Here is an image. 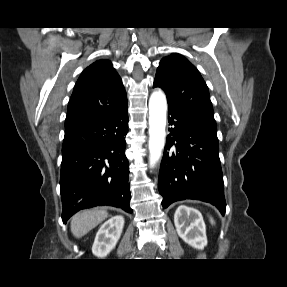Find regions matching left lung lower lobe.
I'll list each match as a JSON object with an SVG mask.
<instances>
[{"label":"left lung lower lobe","mask_w":287,"mask_h":287,"mask_svg":"<svg viewBox=\"0 0 287 287\" xmlns=\"http://www.w3.org/2000/svg\"><path fill=\"white\" fill-rule=\"evenodd\" d=\"M168 121L173 128L166 139L158 179L162 206L195 199L216 206L224 215L226 202L217 135L169 106Z\"/></svg>","instance_id":"1"}]
</instances>
